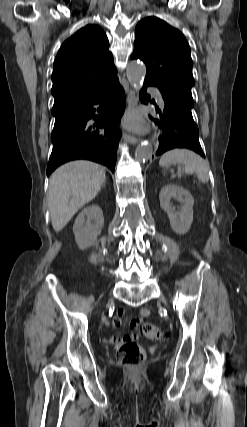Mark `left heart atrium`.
<instances>
[{
  "instance_id": "39dd6f15",
  "label": "left heart atrium",
  "mask_w": 247,
  "mask_h": 427,
  "mask_svg": "<svg viewBox=\"0 0 247 427\" xmlns=\"http://www.w3.org/2000/svg\"><path fill=\"white\" fill-rule=\"evenodd\" d=\"M127 126L131 129L143 131L145 129V125L140 119V117L136 114L131 115L126 122Z\"/></svg>"
}]
</instances>
